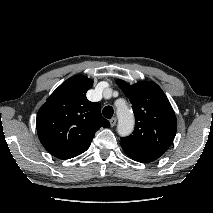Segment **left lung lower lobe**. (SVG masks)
Wrapping results in <instances>:
<instances>
[{"label": "left lung lower lobe", "instance_id": "obj_1", "mask_svg": "<svg viewBox=\"0 0 213 213\" xmlns=\"http://www.w3.org/2000/svg\"><path fill=\"white\" fill-rule=\"evenodd\" d=\"M124 151L130 158H132L135 161L142 162V163H149V162L154 161L153 159L140 157V156L134 155L126 150H124Z\"/></svg>", "mask_w": 213, "mask_h": 213}]
</instances>
